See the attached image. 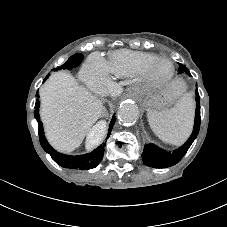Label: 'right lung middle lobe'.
I'll list each match as a JSON object with an SVG mask.
<instances>
[{
    "instance_id": "right-lung-middle-lobe-1",
    "label": "right lung middle lobe",
    "mask_w": 227,
    "mask_h": 227,
    "mask_svg": "<svg viewBox=\"0 0 227 227\" xmlns=\"http://www.w3.org/2000/svg\"><path fill=\"white\" fill-rule=\"evenodd\" d=\"M82 59H83L82 54H79V53L75 54L74 56H71L66 61V63H64L60 67H57V69H63V70L69 69V70H71L73 67L78 66L80 64V62L82 61ZM53 70H56V69H53ZM47 78H48V76H47Z\"/></svg>"
}]
</instances>
